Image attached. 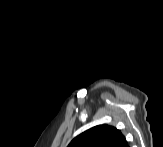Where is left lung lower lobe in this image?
<instances>
[{"instance_id": "1", "label": "left lung lower lobe", "mask_w": 163, "mask_h": 147, "mask_svg": "<svg viewBox=\"0 0 163 147\" xmlns=\"http://www.w3.org/2000/svg\"><path fill=\"white\" fill-rule=\"evenodd\" d=\"M117 147H128V145L126 144V140H125V137L124 136L119 141Z\"/></svg>"}]
</instances>
